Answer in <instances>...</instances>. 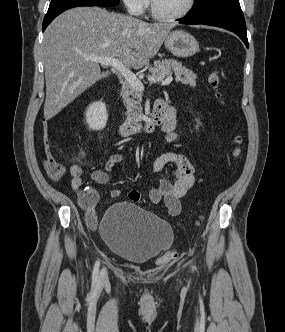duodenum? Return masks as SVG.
<instances>
[{
  "label": "duodenum",
  "instance_id": "obj_1",
  "mask_svg": "<svg viewBox=\"0 0 285 332\" xmlns=\"http://www.w3.org/2000/svg\"><path fill=\"white\" fill-rule=\"evenodd\" d=\"M170 116V108L166 102L159 99L155 102L153 113L149 120L143 124L122 122L118 126V131L123 137H131L140 133H152L159 126H163Z\"/></svg>",
  "mask_w": 285,
  "mask_h": 332
}]
</instances>
